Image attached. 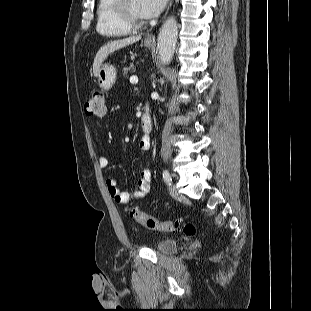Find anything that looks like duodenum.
<instances>
[{
    "label": "duodenum",
    "instance_id": "obj_1",
    "mask_svg": "<svg viewBox=\"0 0 311 311\" xmlns=\"http://www.w3.org/2000/svg\"><path fill=\"white\" fill-rule=\"evenodd\" d=\"M141 127L144 135L149 136L152 131L153 123L150 114L146 111L141 117Z\"/></svg>",
    "mask_w": 311,
    "mask_h": 311
}]
</instances>
